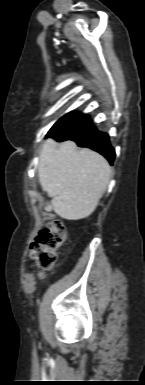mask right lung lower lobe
<instances>
[{
  "instance_id": "right-lung-lower-lobe-1",
  "label": "right lung lower lobe",
  "mask_w": 145,
  "mask_h": 385,
  "mask_svg": "<svg viewBox=\"0 0 145 385\" xmlns=\"http://www.w3.org/2000/svg\"><path fill=\"white\" fill-rule=\"evenodd\" d=\"M49 137L59 142L73 140L80 147H88L102 154L111 165L114 162L115 151L110 145L109 136L98 131L87 116H82L68 129Z\"/></svg>"
}]
</instances>
